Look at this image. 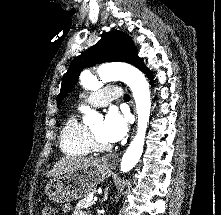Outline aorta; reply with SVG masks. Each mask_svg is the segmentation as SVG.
<instances>
[{
  "instance_id": "obj_1",
  "label": "aorta",
  "mask_w": 221,
  "mask_h": 215,
  "mask_svg": "<svg viewBox=\"0 0 221 215\" xmlns=\"http://www.w3.org/2000/svg\"><path fill=\"white\" fill-rule=\"evenodd\" d=\"M97 72L103 83L115 80L123 81L130 87L134 96L138 116L137 133L124 153L120 164V170L128 172L138 163L144 148L151 111L149 84L139 69L125 63L103 64ZM82 84L88 89L95 87L91 80H82ZM81 111L84 114L83 121L88 124H91L99 116L95 110L89 107H84Z\"/></svg>"
}]
</instances>
